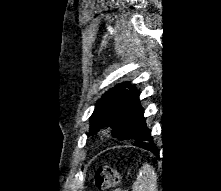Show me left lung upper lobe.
Returning <instances> with one entry per match:
<instances>
[{
  "label": "left lung upper lobe",
  "instance_id": "1",
  "mask_svg": "<svg viewBox=\"0 0 221 191\" xmlns=\"http://www.w3.org/2000/svg\"><path fill=\"white\" fill-rule=\"evenodd\" d=\"M132 94L133 86L130 82H123L109 89L96 103L94 112L90 117L89 135H94L100 128L108 124L113 127L112 135L115 138L120 140L132 139L133 145L142 148L152 145L153 137H143L133 121Z\"/></svg>",
  "mask_w": 221,
  "mask_h": 191
}]
</instances>
